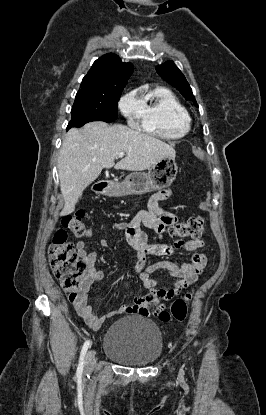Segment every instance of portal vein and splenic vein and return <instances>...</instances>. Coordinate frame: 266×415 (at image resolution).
<instances>
[{"instance_id":"portal-vein-and-splenic-vein-1","label":"portal vein and splenic vein","mask_w":266,"mask_h":415,"mask_svg":"<svg viewBox=\"0 0 266 415\" xmlns=\"http://www.w3.org/2000/svg\"><path fill=\"white\" fill-rule=\"evenodd\" d=\"M118 156H119L120 158H122V157L124 156V152H120V153L118 154Z\"/></svg>"}]
</instances>
